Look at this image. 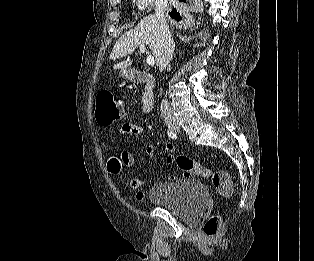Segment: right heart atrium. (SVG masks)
Listing matches in <instances>:
<instances>
[{
  "mask_svg": "<svg viewBox=\"0 0 314 261\" xmlns=\"http://www.w3.org/2000/svg\"><path fill=\"white\" fill-rule=\"evenodd\" d=\"M159 0H134L136 6L143 10L148 11Z\"/></svg>",
  "mask_w": 314,
  "mask_h": 261,
  "instance_id": "1",
  "label": "right heart atrium"
}]
</instances>
